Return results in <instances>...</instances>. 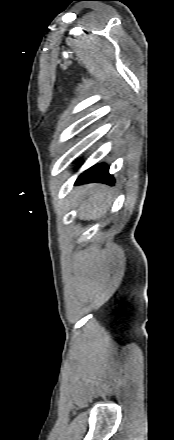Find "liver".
Returning a JSON list of instances; mask_svg holds the SVG:
<instances>
[{"label": "liver", "mask_w": 174, "mask_h": 440, "mask_svg": "<svg viewBox=\"0 0 174 440\" xmlns=\"http://www.w3.org/2000/svg\"><path fill=\"white\" fill-rule=\"evenodd\" d=\"M112 189L103 184H88L74 191V205L83 220L101 218L112 204Z\"/></svg>", "instance_id": "obj_1"}]
</instances>
